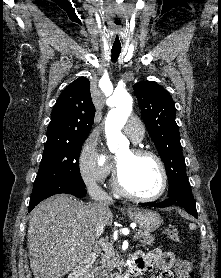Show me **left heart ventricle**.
I'll use <instances>...</instances> for the list:
<instances>
[{
    "label": "left heart ventricle",
    "mask_w": 221,
    "mask_h": 278,
    "mask_svg": "<svg viewBox=\"0 0 221 278\" xmlns=\"http://www.w3.org/2000/svg\"><path fill=\"white\" fill-rule=\"evenodd\" d=\"M117 163L125 184L140 195H154L161 187V172L156 161L147 156H135L129 149L117 154Z\"/></svg>",
    "instance_id": "obj_1"
}]
</instances>
